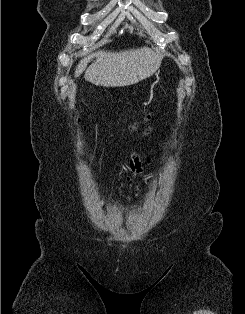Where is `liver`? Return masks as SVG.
<instances>
[{"instance_id":"obj_1","label":"liver","mask_w":245,"mask_h":314,"mask_svg":"<svg viewBox=\"0 0 245 314\" xmlns=\"http://www.w3.org/2000/svg\"><path fill=\"white\" fill-rule=\"evenodd\" d=\"M96 60L87 68V64ZM161 63V56L147 47L119 52L100 50L82 59L75 77L84 71V78L95 85L123 87L152 75Z\"/></svg>"}]
</instances>
